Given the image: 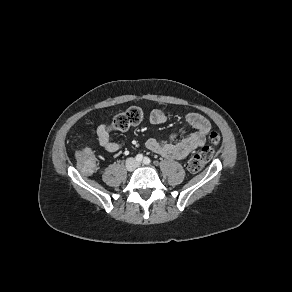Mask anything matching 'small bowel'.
Returning a JSON list of instances; mask_svg holds the SVG:
<instances>
[{
    "instance_id": "small-bowel-1",
    "label": "small bowel",
    "mask_w": 292,
    "mask_h": 292,
    "mask_svg": "<svg viewBox=\"0 0 292 292\" xmlns=\"http://www.w3.org/2000/svg\"><path fill=\"white\" fill-rule=\"evenodd\" d=\"M188 125L195 129L187 137L175 141V136H170L167 140H157L149 138L146 140V147L163 157L169 159H183L192 151L204 145L206 136L211 129V124L204 116L191 112L185 117ZM150 122L154 125H162L167 122V115L162 109H155L150 114ZM99 144L109 153H116L121 149V145L110 139L108 127L104 124L97 128Z\"/></svg>"
}]
</instances>
